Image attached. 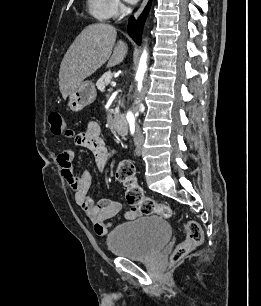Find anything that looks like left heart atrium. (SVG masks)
Wrapping results in <instances>:
<instances>
[{
	"instance_id": "obj_1",
	"label": "left heart atrium",
	"mask_w": 261,
	"mask_h": 306,
	"mask_svg": "<svg viewBox=\"0 0 261 306\" xmlns=\"http://www.w3.org/2000/svg\"><path fill=\"white\" fill-rule=\"evenodd\" d=\"M126 2H128V3H135V2H137L138 0H125Z\"/></svg>"
}]
</instances>
